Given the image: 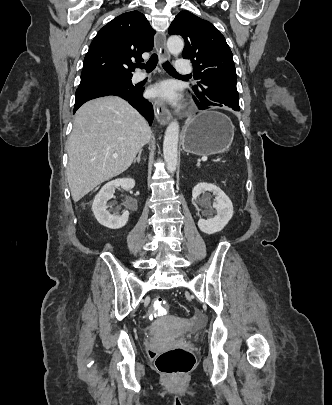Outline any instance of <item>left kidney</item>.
<instances>
[{
    "mask_svg": "<svg viewBox=\"0 0 332 405\" xmlns=\"http://www.w3.org/2000/svg\"><path fill=\"white\" fill-rule=\"evenodd\" d=\"M210 191L216 195V202L213 208L216 209L217 215L208 220L199 219L198 227L206 234H214L221 231L233 216V205L229 197L216 185L201 182L192 190V199L196 200L202 193Z\"/></svg>",
    "mask_w": 332,
    "mask_h": 405,
    "instance_id": "5707ae66",
    "label": "left kidney"
}]
</instances>
